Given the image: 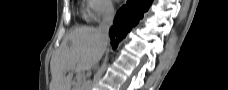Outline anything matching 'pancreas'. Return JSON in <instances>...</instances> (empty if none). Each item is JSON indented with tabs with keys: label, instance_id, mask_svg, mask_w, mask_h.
Segmentation results:
<instances>
[{
	"label": "pancreas",
	"instance_id": "1",
	"mask_svg": "<svg viewBox=\"0 0 228 90\" xmlns=\"http://www.w3.org/2000/svg\"><path fill=\"white\" fill-rule=\"evenodd\" d=\"M81 85H82V80L81 79H77L76 83H75V90H81Z\"/></svg>",
	"mask_w": 228,
	"mask_h": 90
}]
</instances>
